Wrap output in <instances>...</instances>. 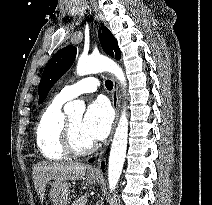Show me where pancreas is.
<instances>
[{"label": "pancreas", "instance_id": "1", "mask_svg": "<svg viewBox=\"0 0 212 205\" xmlns=\"http://www.w3.org/2000/svg\"><path fill=\"white\" fill-rule=\"evenodd\" d=\"M87 203V198L85 196H82L80 198H78L77 200H75L72 205H86Z\"/></svg>", "mask_w": 212, "mask_h": 205}]
</instances>
